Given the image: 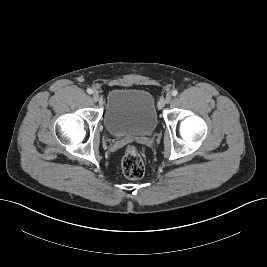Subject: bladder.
I'll use <instances>...</instances> for the list:
<instances>
[{
    "label": "bladder",
    "instance_id": "bladder-1",
    "mask_svg": "<svg viewBox=\"0 0 267 267\" xmlns=\"http://www.w3.org/2000/svg\"><path fill=\"white\" fill-rule=\"evenodd\" d=\"M103 122L115 137L148 135L157 125L154 97L142 89H112L106 97Z\"/></svg>",
    "mask_w": 267,
    "mask_h": 267
}]
</instances>
